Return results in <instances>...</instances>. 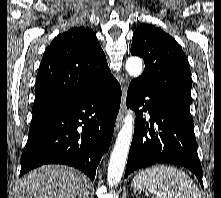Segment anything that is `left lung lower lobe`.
<instances>
[{
	"label": "left lung lower lobe",
	"mask_w": 221,
	"mask_h": 198,
	"mask_svg": "<svg viewBox=\"0 0 221 198\" xmlns=\"http://www.w3.org/2000/svg\"><path fill=\"white\" fill-rule=\"evenodd\" d=\"M127 106L136 109L137 118L125 178L151 165L177 164L194 173L203 187L193 119L184 117L136 81L129 85ZM140 106H143L142 110H139ZM143 112H149V124L143 119Z\"/></svg>",
	"instance_id": "1"
}]
</instances>
